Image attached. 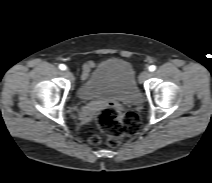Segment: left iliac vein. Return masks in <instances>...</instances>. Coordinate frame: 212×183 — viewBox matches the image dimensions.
<instances>
[{
	"label": "left iliac vein",
	"instance_id": "obj_1",
	"mask_svg": "<svg viewBox=\"0 0 212 183\" xmlns=\"http://www.w3.org/2000/svg\"><path fill=\"white\" fill-rule=\"evenodd\" d=\"M149 76H150V72L147 71V70H145V71H143V72L140 74L139 79H140L141 82H143V81H145Z\"/></svg>",
	"mask_w": 212,
	"mask_h": 183
}]
</instances>
